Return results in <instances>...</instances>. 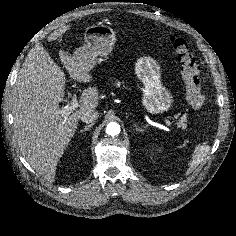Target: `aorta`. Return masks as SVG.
<instances>
[{"label": "aorta", "instance_id": "obj_1", "mask_svg": "<svg viewBox=\"0 0 236 236\" xmlns=\"http://www.w3.org/2000/svg\"><path fill=\"white\" fill-rule=\"evenodd\" d=\"M106 132L110 136H115L120 133V125L116 122H110L107 125Z\"/></svg>", "mask_w": 236, "mask_h": 236}]
</instances>
